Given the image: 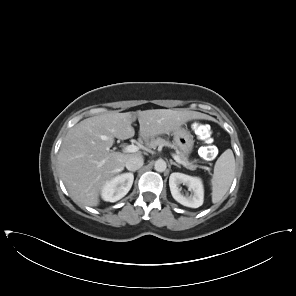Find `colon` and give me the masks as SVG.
I'll return each instance as SVG.
<instances>
[{
    "label": "colon",
    "mask_w": 296,
    "mask_h": 296,
    "mask_svg": "<svg viewBox=\"0 0 296 296\" xmlns=\"http://www.w3.org/2000/svg\"><path fill=\"white\" fill-rule=\"evenodd\" d=\"M192 129L197 137L203 142L204 146L200 149V156L204 160H211L215 157L216 151L214 146L211 144L210 130L203 122H196L193 124Z\"/></svg>",
    "instance_id": "obj_1"
}]
</instances>
